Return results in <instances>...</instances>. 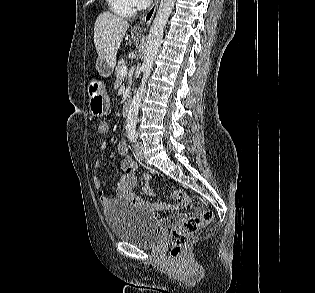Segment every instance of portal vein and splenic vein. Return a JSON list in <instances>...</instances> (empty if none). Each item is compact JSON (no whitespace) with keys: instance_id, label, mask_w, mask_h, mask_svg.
<instances>
[{"instance_id":"obj_1","label":"portal vein and splenic vein","mask_w":315,"mask_h":293,"mask_svg":"<svg viewBox=\"0 0 315 293\" xmlns=\"http://www.w3.org/2000/svg\"><path fill=\"white\" fill-rule=\"evenodd\" d=\"M127 74V67H126V65L125 66H123V68L121 69V75L122 76H125Z\"/></svg>"}]
</instances>
